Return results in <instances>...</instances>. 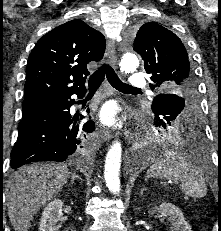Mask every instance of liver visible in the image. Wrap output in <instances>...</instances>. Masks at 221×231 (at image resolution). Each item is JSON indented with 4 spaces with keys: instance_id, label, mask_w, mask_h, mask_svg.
Returning <instances> with one entry per match:
<instances>
[{
    "instance_id": "liver-1",
    "label": "liver",
    "mask_w": 221,
    "mask_h": 231,
    "mask_svg": "<svg viewBox=\"0 0 221 231\" xmlns=\"http://www.w3.org/2000/svg\"><path fill=\"white\" fill-rule=\"evenodd\" d=\"M65 164H32L14 172L5 185L10 222L15 231H27L37 212L67 183Z\"/></svg>"
}]
</instances>
